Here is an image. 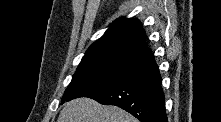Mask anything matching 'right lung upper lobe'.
Returning a JSON list of instances; mask_svg holds the SVG:
<instances>
[{
	"instance_id": "cb5924a9",
	"label": "right lung upper lobe",
	"mask_w": 221,
	"mask_h": 122,
	"mask_svg": "<svg viewBox=\"0 0 221 122\" xmlns=\"http://www.w3.org/2000/svg\"><path fill=\"white\" fill-rule=\"evenodd\" d=\"M150 53L140 21L124 18L113 22L105 34L88 48L81 63L107 57L139 61Z\"/></svg>"
}]
</instances>
